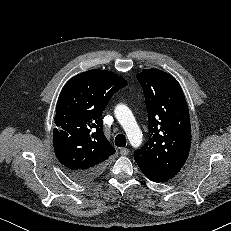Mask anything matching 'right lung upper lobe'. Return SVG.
I'll use <instances>...</instances> for the list:
<instances>
[{
  "instance_id": "cb5924a9",
  "label": "right lung upper lobe",
  "mask_w": 231,
  "mask_h": 231,
  "mask_svg": "<svg viewBox=\"0 0 231 231\" xmlns=\"http://www.w3.org/2000/svg\"><path fill=\"white\" fill-rule=\"evenodd\" d=\"M126 80L107 70H89L71 78L57 102L54 152L69 172L103 168L115 153L103 135L101 115Z\"/></svg>"
}]
</instances>
